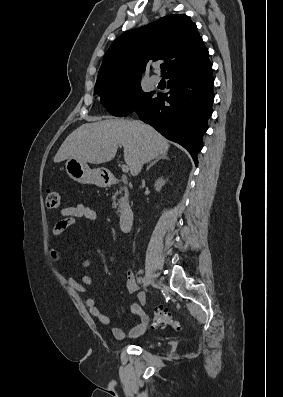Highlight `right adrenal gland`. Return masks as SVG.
<instances>
[{
	"label": "right adrenal gland",
	"instance_id": "right-adrenal-gland-1",
	"mask_svg": "<svg viewBox=\"0 0 283 397\" xmlns=\"http://www.w3.org/2000/svg\"><path fill=\"white\" fill-rule=\"evenodd\" d=\"M160 159L169 160V158H168V156H167V153H164V154L158 156L153 162H151V163L147 166L146 170L148 171L149 168H150L151 166H153L154 164H156V162H158Z\"/></svg>",
	"mask_w": 283,
	"mask_h": 397
}]
</instances>
